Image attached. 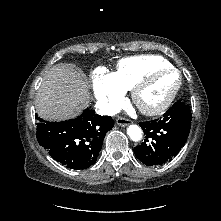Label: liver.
Returning <instances> with one entry per match:
<instances>
[{
  "label": "liver",
  "mask_w": 221,
  "mask_h": 221,
  "mask_svg": "<svg viewBox=\"0 0 221 221\" xmlns=\"http://www.w3.org/2000/svg\"><path fill=\"white\" fill-rule=\"evenodd\" d=\"M90 101L85 76L69 65L52 67L44 77L35 99L39 117L65 120L80 114Z\"/></svg>",
  "instance_id": "liver-1"
}]
</instances>
